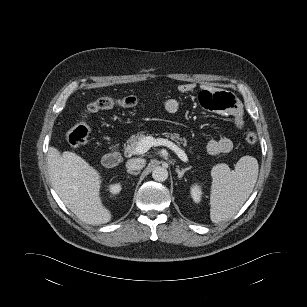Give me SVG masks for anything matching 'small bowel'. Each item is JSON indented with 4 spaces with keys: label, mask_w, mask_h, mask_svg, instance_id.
<instances>
[{
    "label": "small bowel",
    "mask_w": 307,
    "mask_h": 307,
    "mask_svg": "<svg viewBox=\"0 0 307 307\" xmlns=\"http://www.w3.org/2000/svg\"><path fill=\"white\" fill-rule=\"evenodd\" d=\"M196 85L184 83L178 86L181 94H188L195 91ZM199 102L202 107L212 111H218L225 115H230L234 119V132L241 130L244 126L242 111L236 98L224 91L215 92L209 85L201 87ZM164 109L168 113H176L179 109V101L175 98H169L164 102ZM233 149V139L225 136L219 139H211L207 144V150L211 155H220L229 153Z\"/></svg>",
    "instance_id": "small-bowel-1"
}]
</instances>
